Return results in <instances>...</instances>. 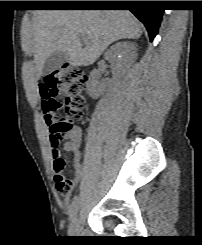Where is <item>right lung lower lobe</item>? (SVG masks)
I'll list each match as a JSON object with an SVG mask.
<instances>
[{"label": "right lung lower lobe", "instance_id": "1", "mask_svg": "<svg viewBox=\"0 0 202 245\" xmlns=\"http://www.w3.org/2000/svg\"><path fill=\"white\" fill-rule=\"evenodd\" d=\"M80 1L82 7H129V10L145 25L150 41L158 33V28L163 15L157 1Z\"/></svg>", "mask_w": 202, "mask_h": 245}]
</instances>
